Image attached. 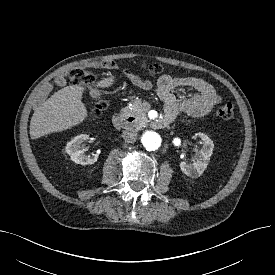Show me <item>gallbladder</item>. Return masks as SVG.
<instances>
[{
	"instance_id": "1",
	"label": "gallbladder",
	"mask_w": 275,
	"mask_h": 275,
	"mask_svg": "<svg viewBox=\"0 0 275 275\" xmlns=\"http://www.w3.org/2000/svg\"><path fill=\"white\" fill-rule=\"evenodd\" d=\"M90 96H91L92 99L98 100V99L101 98V92L97 89H92L90 91Z\"/></svg>"
}]
</instances>
